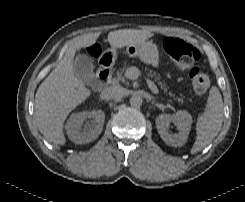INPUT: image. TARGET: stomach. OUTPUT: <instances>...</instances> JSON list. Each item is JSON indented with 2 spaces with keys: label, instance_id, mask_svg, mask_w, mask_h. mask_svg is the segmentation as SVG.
<instances>
[{
  "label": "stomach",
  "instance_id": "obj_1",
  "mask_svg": "<svg viewBox=\"0 0 245 202\" xmlns=\"http://www.w3.org/2000/svg\"><path fill=\"white\" fill-rule=\"evenodd\" d=\"M126 52L131 57L138 56L144 63L159 67V51L156 44L152 41H143L141 43L126 46Z\"/></svg>",
  "mask_w": 245,
  "mask_h": 202
}]
</instances>
